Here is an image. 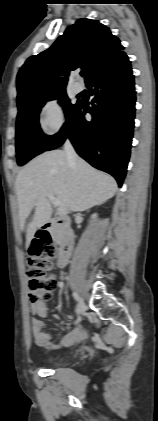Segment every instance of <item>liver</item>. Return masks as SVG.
<instances>
[{
    "instance_id": "obj_1",
    "label": "liver",
    "mask_w": 158,
    "mask_h": 421,
    "mask_svg": "<svg viewBox=\"0 0 158 421\" xmlns=\"http://www.w3.org/2000/svg\"><path fill=\"white\" fill-rule=\"evenodd\" d=\"M22 230L31 211L35 213L26 227L29 244L37 229L51 217L48 194L60 201L57 213L63 217L71 211H84L112 198L117 190L115 179L94 169L84 160L70 164L65 151H46L18 173L15 182Z\"/></svg>"
}]
</instances>
